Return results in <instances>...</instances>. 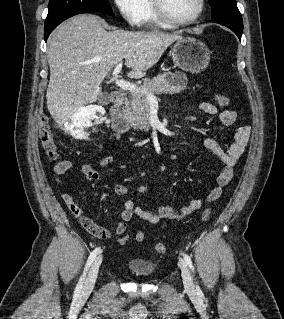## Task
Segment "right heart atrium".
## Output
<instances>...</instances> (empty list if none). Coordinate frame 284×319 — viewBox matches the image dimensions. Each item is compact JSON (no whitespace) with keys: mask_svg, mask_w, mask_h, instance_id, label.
I'll list each match as a JSON object with an SVG mask.
<instances>
[{"mask_svg":"<svg viewBox=\"0 0 284 319\" xmlns=\"http://www.w3.org/2000/svg\"><path fill=\"white\" fill-rule=\"evenodd\" d=\"M122 18L131 26L142 24L146 10V0H113Z\"/></svg>","mask_w":284,"mask_h":319,"instance_id":"right-heart-atrium-1","label":"right heart atrium"}]
</instances>
